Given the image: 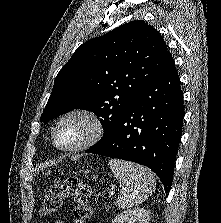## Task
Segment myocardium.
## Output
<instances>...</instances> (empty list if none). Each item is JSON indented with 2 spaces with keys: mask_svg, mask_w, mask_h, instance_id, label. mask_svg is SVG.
Returning a JSON list of instances; mask_svg holds the SVG:
<instances>
[{
  "mask_svg": "<svg viewBox=\"0 0 221 223\" xmlns=\"http://www.w3.org/2000/svg\"><path fill=\"white\" fill-rule=\"evenodd\" d=\"M75 116H80L89 123L90 130L87 136L81 142L74 145L63 146L58 144L56 140V132L59 126L66 119ZM104 133H105L104 122L95 112L86 108H73L64 112L62 115L58 117L51 132V139L54 146L62 151H79L87 149L96 144L103 137Z\"/></svg>",
  "mask_w": 221,
  "mask_h": 223,
  "instance_id": "myocardium-1",
  "label": "myocardium"
}]
</instances>
